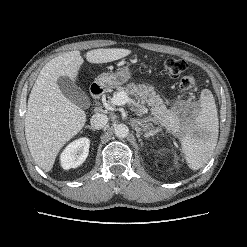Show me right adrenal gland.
<instances>
[{
  "label": "right adrenal gland",
  "mask_w": 247,
  "mask_h": 247,
  "mask_svg": "<svg viewBox=\"0 0 247 247\" xmlns=\"http://www.w3.org/2000/svg\"><path fill=\"white\" fill-rule=\"evenodd\" d=\"M85 128H89V129H91L92 131H95V129H94L92 126H90V125H87Z\"/></svg>",
  "instance_id": "obj_1"
}]
</instances>
